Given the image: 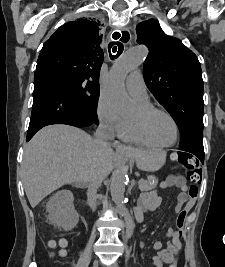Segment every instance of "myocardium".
<instances>
[{
  "label": "myocardium",
  "instance_id": "obj_1",
  "mask_svg": "<svg viewBox=\"0 0 225 267\" xmlns=\"http://www.w3.org/2000/svg\"><path fill=\"white\" fill-rule=\"evenodd\" d=\"M163 114L165 116H167L172 123L174 124L175 127V139L172 143L169 144H160L157 143L151 136L150 131H149V127H148V122L150 120V118L154 115V114ZM140 129L142 130L143 134L146 136V138L153 143L155 146L159 147V148H169L174 146L175 144H177L179 138H180V129H179V125L177 120L175 119V117L169 113L168 111L158 108V107H154V106H149L146 108H139L138 114L135 117Z\"/></svg>",
  "mask_w": 225,
  "mask_h": 267
}]
</instances>
